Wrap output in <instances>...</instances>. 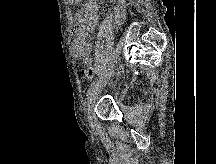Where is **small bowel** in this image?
Masks as SVG:
<instances>
[{
  "mask_svg": "<svg viewBox=\"0 0 216 164\" xmlns=\"http://www.w3.org/2000/svg\"><path fill=\"white\" fill-rule=\"evenodd\" d=\"M124 16V0H118L115 8V19L120 21ZM98 5L96 0H87L75 15V40L73 42V52L76 57L83 58L86 66H93L90 53L92 44L89 36L94 30L98 21Z\"/></svg>",
  "mask_w": 216,
  "mask_h": 164,
  "instance_id": "c3829d8e",
  "label": "small bowel"
}]
</instances>
